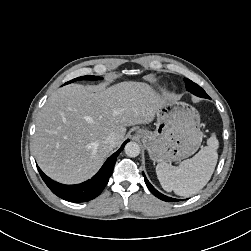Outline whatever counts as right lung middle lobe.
I'll return each mask as SVG.
<instances>
[{"label": "right lung middle lobe", "mask_w": 251, "mask_h": 251, "mask_svg": "<svg viewBox=\"0 0 251 251\" xmlns=\"http://www.w3.org/2000/svg\"><path fill=\"white\" fill-rule=\"evenodd\" d=\"M99 79H102V78H100V77H95V76H91V75H90V76H82V77H78V78H76V79H73V80L67 82L66 84L71 83V82H74V81H76V80H99Z\"/></svg>", "instance_id": "right-lung-middle-lobe-1"}]
</instances>
